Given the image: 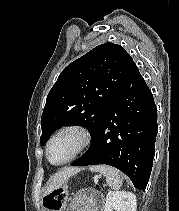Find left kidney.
<instances>
[{"label":"left kidney","instance_id":"obj_1","mask_svg":"<svg viewBox=\"0 0 179 211\" xmlns=\"http://www.w3.org/2000/svg\"><path fill=\"white\" fill-rule=\"evenodd\" d=\"M136 209V196L131 192H109L106 196L104 211H136Z\"/></svg>","mask_w":179,"mask_h":211}]
</instances>
